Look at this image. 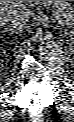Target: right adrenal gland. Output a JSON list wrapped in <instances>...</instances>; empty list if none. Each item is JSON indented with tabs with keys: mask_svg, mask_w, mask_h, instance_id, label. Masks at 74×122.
Masks as SVG:
<instances>
[{
	"mask_svg": "<svg viewBox=\"0 0 74 122\" xmlns=\"http://www.w3.org/2000/svg\"><path fill=\"white\" fill-rule=\"evenodd\" d=\"M4 32H10L12 34H20L21 33L20 31H16V30H14L12 28H8Z\"/></svg>",
	"mask_w": 74,
	"mask_h": 122,
	"instance_id": "2a0ac1e0",
	"label": "right adrenal gland"
}]
</instances>
